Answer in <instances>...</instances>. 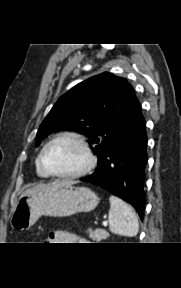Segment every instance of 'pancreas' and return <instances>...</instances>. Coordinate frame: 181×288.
Listing matches in <instances>:
<instances>
[{"label":"pancreas","mask_w":181,"mask_h":288,"mask_svg":"<svg viewBox=\"0 0 181 288\" xmlns=\"http://www.w3.org/2000/svg\"><path fill=\"white\" fill-rule=\"evenodd\" d=\"M88 234L91 240L97 242L105 240L109 237V233L104 229H95V230L89 229Z\"/></svg>","instance_id":"obj_1"}]
</instances>
